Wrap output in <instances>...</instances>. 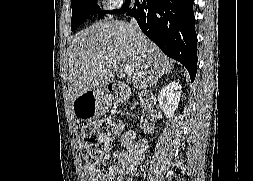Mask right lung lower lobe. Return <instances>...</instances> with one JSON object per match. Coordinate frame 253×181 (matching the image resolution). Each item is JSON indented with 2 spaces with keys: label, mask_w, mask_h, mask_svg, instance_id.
<instances>
[{
  "label": "right lung lower lobe",
  "mask_w": 253,
  "mask_h": 181,
  "mask_svg": "<svg viewBox=\"0 0 253 181\" xmlns=\"http://www.w3.org/2000/svg\"><path fill=\"white\" fill-rule=\"evenodd\" d=\"M128 11L141 30L169 57L182 63L194 81L197 71V35L193 0H135ZM130 3V2H129Z\"/></svg>",
  "instance_id": "1"
}]
</instances>
